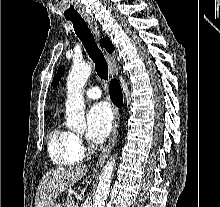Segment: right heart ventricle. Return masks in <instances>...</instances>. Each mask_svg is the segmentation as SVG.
Returning <instances> with one entry per match:
<instances>
[{"label": "right heart ventricle", "instance_id": "e07e8e85", "mask_svg": "<svg viewBox=\"0 0 220 207\" xmlns=\"http://www.w3.org/2000/svg\"><path fill=\"white\" fill-rule=\"evenodd\" d=\"M48 153L52 162L58 166L75 165L84 157L78 137L60 125H56L49 135Z\"/></svg>", "mask_w": 220, "mask_h": 207}]
</instances>
